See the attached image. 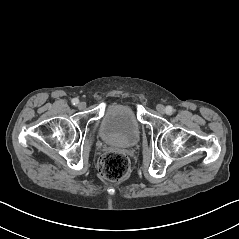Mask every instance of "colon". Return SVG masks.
Returning <instances> with one entry per match:
<instances>
[{
    "label": "colon",
    "mask_w": 239,
    "mask_h": 239,
    "mask_svg": "<svg viewBox=\"0 0 239 239\" xmlns=\"http://www.w3.org/2000/svg\"><path fill=\"white\" fill-rule=\"evenodd\" d=\"M130 169L129 158L120 152H107L99 162V170L102 176L111 181L123 179Z\"/></svg>",
    "instance_id": "colon-1"
}]
</instances>
